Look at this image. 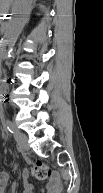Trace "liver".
Returning a JSON list of instances; mask_svg holds the SVG:
<instances>
[{
	"label": "liver",
	"instance_id": "obj_1",
	"mask_svg": "<svg viewBox=\"0 0 103 193\" xmlns=\"http://www.w3.org/2000/svg\"><path fill=\"white\" fill-rule=\"evenodd\" d=\"M11 2H12V0H1L0 1V11H1V13H5L9 10Z\"/></svg>",
	"mask_w": 103,
	"mask_h": 193
}]
</instances>
